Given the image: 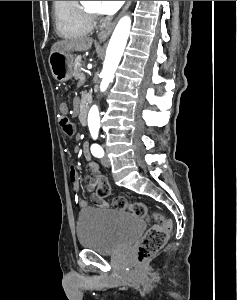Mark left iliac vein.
Instances as JSON below:
<instances>
[{
	"instance_id": "left-iliac-vein-1",
	"label": "left iliac vein",
	"mask_w": 237,
	"mask_h": 300,
	"mask_svg": "<svg viewBox=\"0 0 237 300\" xmlns=\"http://www.w3.org/2000/svg\"><path fill=\"white\" fill-rule=\"evenodd\" d=\"M101 163L105 167H110L111 166V162H110V160H109V158L107 156H103L102 157Z\"/></svg>"
}]
</instances>
